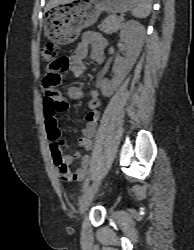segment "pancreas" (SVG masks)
I'll list each match as a JSON object with an SVG mask.
<instances>
[{
	"label": "pancreas",
	"instance_id": "1",
	"mask_svg": "<svg viewBox=\"0 0 194 250\" xmlns=\"http://www.w3.org/2000/svg\"><path fill=\"white\" fill-rule=\"evenodd\" d=\"M98 27L102 32L111 34L120 30L123 27V23L119 17H116L115 15H109Z\"/></svg>",
	"mask_w": 194,
	"mask_h": 250
}]
</instances>
